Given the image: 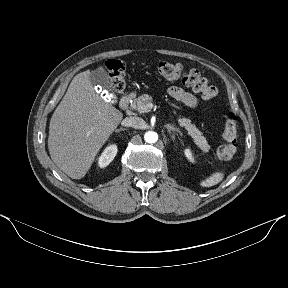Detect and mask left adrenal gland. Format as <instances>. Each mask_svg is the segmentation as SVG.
<instances>
[{
  "label": "left adrenal gland",
  "mask_w": 288,
  "mask_h": 288,
  "mask_svg": "<svg viewBox=\"0 0 288 288\" xmlns=\"http://www.w3.org/2000/svg\"><path fill=\"white\" fill-rule=\"evenodd\" d=\"M165 127L168 129V132L171 134L173 140H175V135H181V132L177 127H174L171 124H166Z\"/></svg>",
  "instance_id": "obj_1"
}]
</instances>
